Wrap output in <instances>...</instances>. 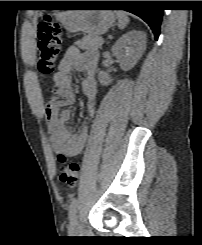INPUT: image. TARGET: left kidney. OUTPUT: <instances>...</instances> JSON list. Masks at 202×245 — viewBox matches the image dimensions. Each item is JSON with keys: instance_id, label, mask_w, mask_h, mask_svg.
Masks as SVG:
<instances>
[{"instance_id": "1", "label": "left kidney", "mask_w": 202, "mask_h": 245, "mask_svg": "<svg viewBox=\"0 0 202 245\" xmlns=\"http://www.w3.org/2000/svg\"><path fill=\"white\" fill-rule=\"evenodd\" d=\"M146 34L142 31H130L122 35L112 47L113 55L120 61L123 70H130L142 57L146 49ZM100 84L107 86L112 78L106 72H99Z\"/></svg>"}]
</instances>
